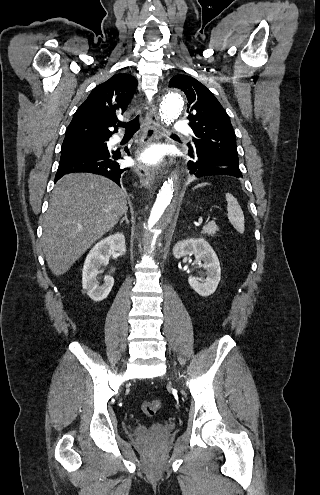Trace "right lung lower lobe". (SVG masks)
Masks as SVG:
<instances>
[{"instance_id":"right-lung-lower-lobe-1","label":"right lung lower lobe","mask_w":320,"mask_h":495,"mask_svg":"<svg viewBox=\"0 0 320 495\" xmlns=\"http://www.w3.org/2000/svg\"><path fill=\"white\" fill-rule=\"evenodd\" d=\"M129 155V150L125 148ZM121 158L120 151L105 149H64L61 153L55 182L63 175L75 172H87L103 175L120 185L122 173L129 168L121 167L116 160Z\"/></svg>"}]
</instances>
